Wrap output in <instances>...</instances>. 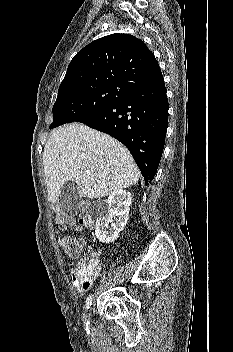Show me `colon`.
<instances>
[{"label":"colon","mask_w":233,"mask_h":352,"mask_svg":"<svg viewBox=\"0 0 233 352\" xmlns=\"http://www.w3.org/2000/svg\"><path fill=\"white\" fill-rule=\"evenodd\" d=\"M60 224L70 223L71 220L62 215L58 217ZM81 225L93 227L94 219L87 206H83L78 217ZM84 241L79 238L64 237L60 240L62 250L70 257H77L84 248ZM100 271V266L94 258H85L73 265V275L79 279L87 280Z\"/></svg>","instance_id":"obj_1"}]
</instances>
